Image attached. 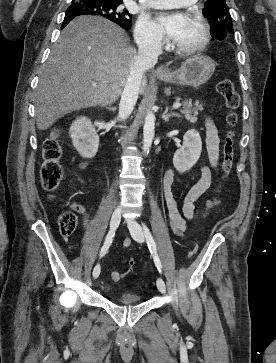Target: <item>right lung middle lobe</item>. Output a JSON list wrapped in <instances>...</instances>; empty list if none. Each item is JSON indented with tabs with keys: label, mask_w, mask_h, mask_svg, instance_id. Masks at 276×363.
Returning a JSON list of instances; mask_svg holds the SVG:
<instances>
[{
	"label": "right lung middle lobe",
	"mask_w": 276,
	"mask_h": 363,
	"mask_svg": "<svg viewBox=\"0 0 276 363\" xmlns=\"http://www.w3.org/2000/svg\"><path fill=\"white\" fill-rule=\"evenodd\" d=\"M120 4L103 0H73L72 5L66 11V15L81 12L86 15L101 16L127 29L131 26V19H129L131 16L127 10H120Z\"/></svg>",
	"instance_id": "obj_1"
}]
</instances>
